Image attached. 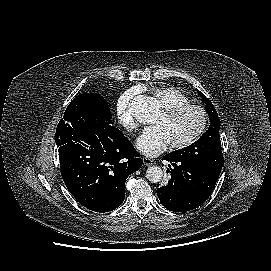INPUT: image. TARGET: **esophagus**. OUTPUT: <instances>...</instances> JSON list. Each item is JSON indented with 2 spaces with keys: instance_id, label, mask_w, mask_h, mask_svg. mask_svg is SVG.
<instances>
[{
  "instance_id": "34e87169",
  "label": "esophagus",
  "mask_w": 271,
  "mask_h": 271,
  "mask_svg": "<svg viewBox=\"0 0 271 271\" xmlns=\"http://www.w3.org/2000/svg\"><path fill=\"white\" fill-rule=\"evenodd\" d=\"M142 161L145 166H151L155 164V161L153 159L147 157L142 158Z\"/></svg>"
}]
</instances>
